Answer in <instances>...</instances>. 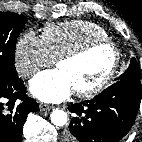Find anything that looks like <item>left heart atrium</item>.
<instances>
[{
	"label": "left heart atrium",
	"instance_id": "39dd6f15",
	"mask_svg": "<svg viewBox=\"0 0 142 142\" xmlns=\"http://www.w3.org/2000/svg\"><path fill=\"white\" fill-rule=\"evenodd\" d=\"M30 92L43 102H60L73 91L67 75L60 69L42 71L29 83Z\"/></svg>",
	"mask_w": 142,
	"mask_h": 142
}]
</instances>
